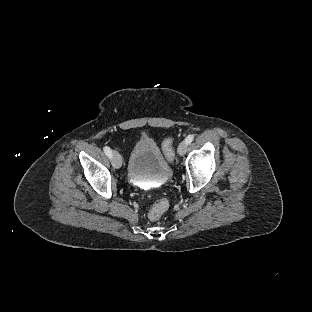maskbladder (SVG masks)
<instances>
[{
  "instance_id": "1",
  "label": "bladder",
  "mask_w": 312,
  "mask_h": 312,
  "mask_svg": "<svg viewBox=\"0 0 312 312\" xmlns=\"http://www.w3.org/2000/svg\"><path fill=\"white\" fill-rule=\"evenodd\" d=\"M127 171L131 178L147 176L169 179L171 176V167L163 160L162 152L154 141H145L131 151Z\"/></svg>"
}]
</instances>
